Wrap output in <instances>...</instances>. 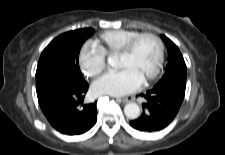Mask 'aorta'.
Wrapping results in <instances>:
<instances>
[{
	"label": "aorta",
	"instance_id": "obj_1",
	"mask_svg": "<svg viewBox=\"0 0 225 155\" xmlns=\"http://www.w3.org/2000/svg\"><path fill=\"white\" fill-rule=\"evenodd\" d=\"M118 58L116 56L108 57V64L115 67L117 66ZM125 116L129 119H137L140 116V107L136 103H128L124 107Z\"/></svg>",
	"mask_w": 225,
	"mask_h": 155
}]
</instances>
